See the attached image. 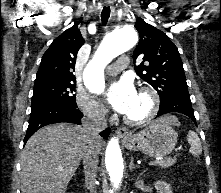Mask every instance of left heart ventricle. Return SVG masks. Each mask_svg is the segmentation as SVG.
<instances>
[{"label": "left heart ventricle", "mask_w": 221, "mask_h": 193, "mask_svg": "<svg viewBox=\"0 0 221 193\" xmlns=\"http://www.w3.org/2000/svg\"><path fill=\"white\" fill-rule=\"evenodd\" d=\"M149 106V99L144 95L138 94L136 102L134 103L129 113L126 114V116L131 118L141 117L147 112Z\"/></svg>", "instance_id": "obj_1"}]
</instances>
